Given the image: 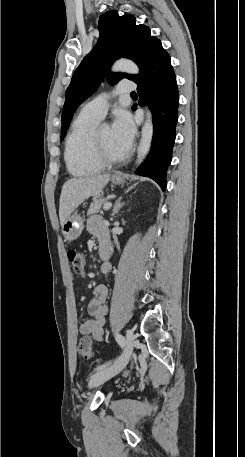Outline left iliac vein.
<instances>
[{
    "mask_svg": "<svg viewBox=\"0 0 245 457\" xmlns=\"http://www.w3.org/2000/svg\"><path fill=\"white\" fill-rule=\"evenodd\" d=\"M134 346V335L132 330H127L124 350L115 362L90 377V387L95 388L108 381L110 378L120 373L128 364Z\"/></svg>",
    "mask_w": 245,
    "mask_h": 457,
    "instance_id": "obj_1",
    "label": "left iliac vein"
}]
</instances>
